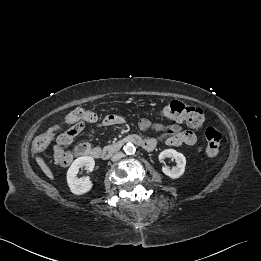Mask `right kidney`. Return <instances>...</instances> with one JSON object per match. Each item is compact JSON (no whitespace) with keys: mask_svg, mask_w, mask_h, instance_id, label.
I'll list each match as a JSON object with an SVG mask.
<instances>
[{"mask_svg":"<svg viewBox=\"0 0 261 261\" xmlns=\"http://www.w3.org/2000/svg\"><path fill=\"white\" fill-rule=\"evenodd\" d=\"M83 166L90 172L93 171L95 166L94 159L90 156L79 157L72 163L67 171V183L71 192L76 195L85 194L93 187V183L89 177H77L79 169Z\"/></svg>","mask_w":261,"mask_h":261,"instance_id":"right-kidney-1","label":"right kidney"}]
</instances>
